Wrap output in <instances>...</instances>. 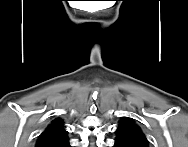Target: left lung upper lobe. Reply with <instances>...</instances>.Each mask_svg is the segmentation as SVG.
I'll return each instance as SVG.
<instances>
[{"mask_svg":"<svg viewBox=\"0 0 188 147\" xmlns=\"http://www.w3.org/2000/svg\"><path fill=\"white\" fill-rule=\"evenodd\" d=\"M115 133V147H148L146 136L132 118H122Z\"/></svg>","mask_w":188,"mask_h":147,"instance_id":"1","label":"left lung upper lobe"}]
</instances>
